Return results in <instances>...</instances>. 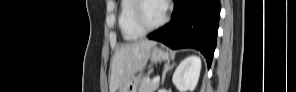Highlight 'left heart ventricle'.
Instances as JSON below:
<instances>
[{
  "instance_id": "1",
  "label": "left heart ventricle",
  "mask_w": 296,
  "mask_h": 92,
  "mask_svg": "<svg viewBox=\"0 0 296 92\" xmlns=\"http://www.w3.org/2000/svg\"><path fill=\"white\" fill-rule=\"evenodd\" d=\"M164 15L163 5L159 1H147L143 7L144 21L149 24H155Z\"/></svg>"
}]
</instances>
